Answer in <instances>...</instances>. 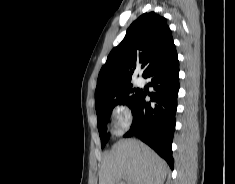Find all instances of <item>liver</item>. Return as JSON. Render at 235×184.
<instances>
[{
	"mask_svg": "<svg viewBox=\"0 0 235 184\" xmlns=\"http://www.w3.org/2000/svg\"><path fill=\"white\" fill-rule=\"evenodd\" d=\"M167 164L151 148L137 140H119L102 160L99 184H118L121 178L134 184H163Z\"/></svg>",
	"mask_w": 235,
	"mask_h": 184,
	"instance_id": "1",
	"label": "liver"
}]
</instances>
